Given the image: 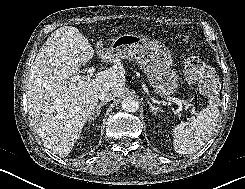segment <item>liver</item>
Listing matches in <instances>:
<instances>
[{
    "instance_id": "obj_1",
    "label": "liver",
    "mask_w": 245,
    "mask_h": 189,
    "mask_svg": "<svg viewBox=\"0 0 245 189\" xmlns=\"http://www.w3.org/2000/svg\"><path fill=\"white\" fill-rule=\"evenodd\" d=\"M94 53L113 66L95 78L74 81ZM125 84L121 60L102 41L94 51L77 28L61 27L44 43L31 67L27 84L30 122L48 149L66 157L97 106L100 91L109 89L119 97Z\"/></svg>"
}]
</instances>
